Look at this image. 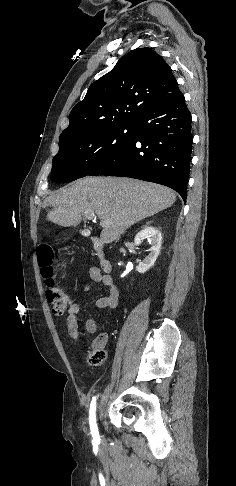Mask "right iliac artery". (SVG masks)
<instances>
[{"mask_svg": "<svg viewBox=\"0 0 236 486\" xmlns=\"http://www.w3.org/2000/svg\"><path fill=\"white\" fill-rule=\"evenodd\" d=\"M89 424L94 442H99V432L96 424V397L93 398L89 410Z\"/></svg>", "mask_w": 236, "mask_h": 486, "instance_id": "1", "label": "right iliac artery"}]
</instances>
